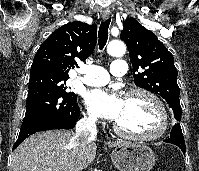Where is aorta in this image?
I'll return each instance as SVG.
<instances>
[{
  "label": "aorta",
  "instance_id": "obj_1",
  "mask_svg": "<svg viewBox=\"0 0 199 171\" xmlns=\"http://www.w3.org/2000/svg\"><path fill=\"white\" fill-rule=\"evenodd\" d=\"M126 51L125 44L119 40H113L108 44L107 52L112 56H122Z\"/></svg>",
  "mask_w": 199,
  "mask_h": 171
}]
</instances>
